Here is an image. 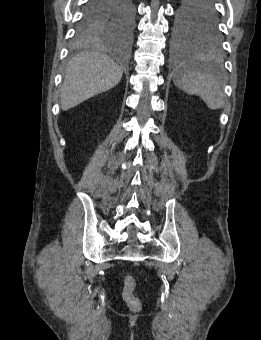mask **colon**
Instances as JSON below:
<instances>
[{
    "label": "colon",
    "mask_w": 261,
    "mask_h": 340,
    "mask_svg": "<svg viewBox=\"0 0 261 340\" xmlns=\"http://www.w3.org/2000/svg\"><path fill=\"white\" fill-rule=\"evenodd\" d=\"M136 281L134 277L130 274L126 275L123 280V299L127 306L133 310L137 311L140 309V301L135 294Z\"/></svg>",
    "instance_id": "1"
}]
</instances>
